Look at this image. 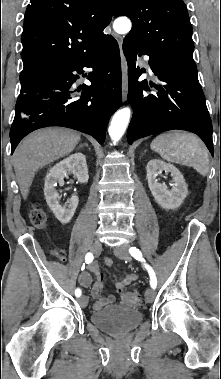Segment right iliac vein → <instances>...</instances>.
Listing matches in <instances>:
<instances>
[{"mask_svg":"<svg viewBox=\"0 0 221 379\" xmlns=\"http://www.w3.org/2000/svg\"><path fill=\"white\" fill-rule=\"evenodd\" d=\"M102 250V244L99 241H95L91 246V251L94 253V255H99ZM79 303L81 306L85 307L88 304V299L86 296H81L79 298Z\"/></svg>","mask_w":221,"mask_h":379,"instance_id":"63e3f726","label":"right iliac vein"}]
</instances>
